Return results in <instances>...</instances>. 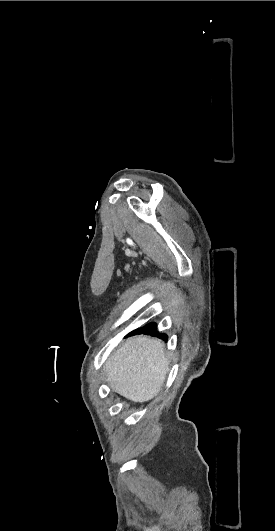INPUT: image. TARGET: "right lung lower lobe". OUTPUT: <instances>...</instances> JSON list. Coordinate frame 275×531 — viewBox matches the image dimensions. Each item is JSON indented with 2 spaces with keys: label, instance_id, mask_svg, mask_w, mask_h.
Returning <instances> with one entry per match:
<instances>
[{
  "label": "right lung lower lobe",
  "instance_id": "98d812e1",
  "mask_svg": "<svg viewBox=\"0 0 275 531\" xmlns=\"http://www.w3.org/2000/svg\"><path fill=\"white\" fill-rule=\"evenodd\" d=\"M149 334V335H157L159 338H162L164 340L167 339V335L166 334H160L158 331H157V327H156V324L155 323H149L147 324L145 327L143 328H138L134 331L131 332V334Z\"/></svg>",
  "mask_w": 275,
  "mask_h": 531
}]
</instances>
